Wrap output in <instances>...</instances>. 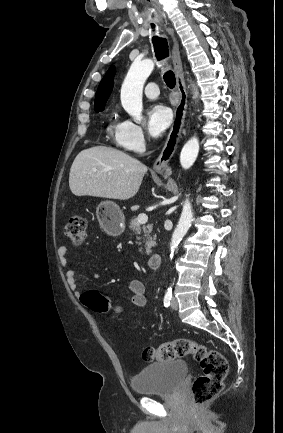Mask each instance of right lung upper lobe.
<instances>
[{
  "label": "right lung upper lobe",
  "mask_w": 283,
  "mask_h": 433,
  "mask_svg": "<svg viewBox=\"0 0 283 433\" xmlns=\"http://www.w3.org/2000/svg\"><path fill=\"white\" fill-rule=\"evenodd\" d=\"M115 68L110 67L102 81L99 84L98 90L96 92L95 98V109L100 107H105V103L112 92L114 84Z\"/></svg>",
  "instance_id": "1"
}]
</instances>
